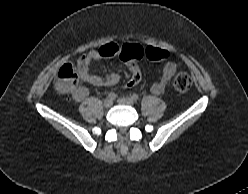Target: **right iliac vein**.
<instances>
[{
	"mask_svg": "<svg viewBox=\"0 0 248 194\" xmlns=\"http://www.w3.org/2000/svg\"><path fill=\"white\" fill-rule=\"evenodd\" d=\"M113 105V102L110 98H107L104 100V107L105 108H110Z\"/></svg>",
	"mask_w": 248,
	"mask_h": 194,
	"instance_id": "63e3f726",
	"label": "right iliac vein"
}]
</instances>
